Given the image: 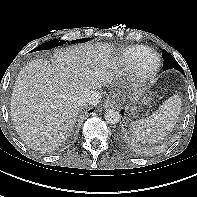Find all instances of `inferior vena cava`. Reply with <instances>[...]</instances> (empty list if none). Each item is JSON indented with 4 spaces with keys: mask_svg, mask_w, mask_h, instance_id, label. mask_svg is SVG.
<instances>
[{
    "mask_svg": "<svg viewBox=\"0 0 197 197\" xmlns=\"http://www.w3.org/2000/svg\"><path fill=\"white\" fill-rule=\"evenodd\" d=\"M101 98H102V95L100 91L91 90L85 94L82 100V104L83 105H86V104L97 105L100 102Z\"/></svg>",
    "mask_w": 197,
    "mask_h": 197,
    "instance_id": "inferior-vena-cava-1",
    "label": "inferior vena cava"
}]
</instances>
